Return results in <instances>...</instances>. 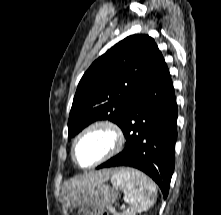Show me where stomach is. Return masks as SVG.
<instances>
[{"label":"stomach","mask_w":221,"mask_h":215,"mask_svg":"<svg viewBox=\"0 0 221 215\" xmlns=\"http://www.w3.org/2000/svg\"><path fill=\"white\" fill-rule=\"evenodd\" d=\"M117 197V188L104 183L82 189H67L63 195L64 205L70 210L83 206L111 208Z\"/></svg>","instance_id":"1"}]
</instances>
